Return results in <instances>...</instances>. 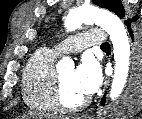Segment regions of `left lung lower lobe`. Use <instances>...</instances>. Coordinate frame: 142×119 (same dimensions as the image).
<instances>
[{
	"instance_id": "left-lung-lower-lobe-1",
	"label": "left lung lower lobe",
	"mask_w": 142,
	"mask_h": 119,
	"mask_svg": "<svg viewBox=\"0 0 142 119\" xmlns=\"http://www.w3.org/2000/svg\"><path fill=\"white\" fill-rule=\"evenodd\" d=\"M137 19H138V17H134L133 20H128V21L125 22V24L128 27V31L130 32L131 35H133L132 30L130 29L131 22H135V21H137ZM137 54H138V56H137V67H138L137 75H138V80L140 82L141 74H142V49H139ZM101 103L104 104L105 101L102 100Z\"/></svg>"
}]
</instances>
